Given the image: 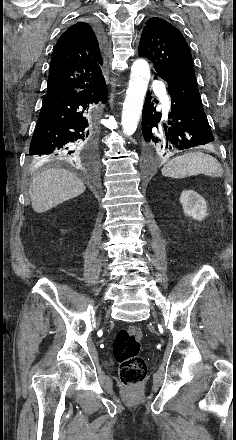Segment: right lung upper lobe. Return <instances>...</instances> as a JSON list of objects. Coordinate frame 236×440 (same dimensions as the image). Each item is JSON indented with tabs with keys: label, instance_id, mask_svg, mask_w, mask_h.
Returning <instances> with one entry per match:
<instances>
[{
	"label": "right lung upper lobe",
	"instance_id": "obj_1",
	"mask_svg": "<svg viewBox=\"0 0 236 440\" xmlns=\"http://www.w3.org/2000/svg\"><path fill=\"white\" fill-rule=\"evenodd\" d=\"M103 51L93 25L78 22L58 39L52 53L46 93L82 90L101 82Z\"/></svg>",
	"mask_w": 236,
	"mask_h": 440
}]
</instances>
